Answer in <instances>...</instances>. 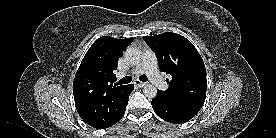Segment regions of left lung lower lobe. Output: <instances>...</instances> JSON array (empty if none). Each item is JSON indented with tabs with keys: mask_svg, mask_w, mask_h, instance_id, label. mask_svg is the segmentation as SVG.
Wrapping results in <instances>:
<instances>
[{
	"mask_svg": "<svg viewBox=\"0 0 276 138\" xmlns=\"http://www.w3.org/2000/svg\"><path fill=\"white\" fill-rule=\"evenodd\" d=\"M151 104L160 118L171 123L187 122L199 112L166 99L159 90Z\"/></svg>",
	"mask_w": 276,
	"mask_h": 138,
	"instance_id": "0a47b994",
	"label": "left lung lower lobe"
}]
</instances>
